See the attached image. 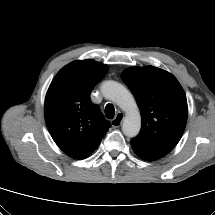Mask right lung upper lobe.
Returning <instances> with one entry per match:
<instances>
[{
	"instance_id": "1",
	"label": "right lung upper lobe",
	"mask_w": 215,
	"mask_h": 215,
	"mask_svg": "<svg viewBox=\"0 0 215 215\" xmlns=\"http://www.w3.org/2000/svg\"><path fill=\"white\" fill-rule=\"evenodd\" d=\"M107 71V65L94 60L75 61L57 73L47 91L46 125L58 147L74 159L88 157L111 126L90 101Z\"/></svg>"
}]
</instances>
